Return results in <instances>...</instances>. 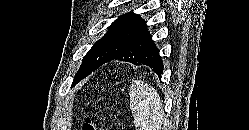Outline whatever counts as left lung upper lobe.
Segmentation results:
<instances>
[{"label": "left lung upper lobe", "instance_id": "1", "mask_svg": "<svg viewBox=\"0 0 249 130\" xmlns=\"http://www.w3.org/2000/svg\"><path fill=\"white\" fill-rule=\"evenodd\" d=\"M146 28V22L137 14L129 12L120 16L108 27L107 33L84 56L72 85L74 86L101 65L115 57Z\"/></svg>", "mask_w": 249, "mask_h": 130}]
</instances>
